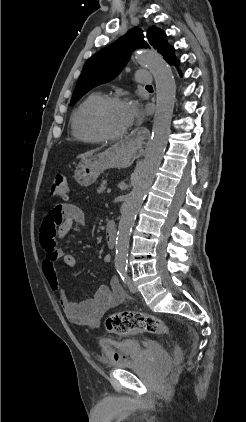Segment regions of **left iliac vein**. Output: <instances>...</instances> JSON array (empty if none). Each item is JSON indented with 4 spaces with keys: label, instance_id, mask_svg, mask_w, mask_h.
I'll list each match as a JSON object with an SVG mask.
<instances>
[{
    "label": "left iliac vein",
    "instance_id": "left-iliac-vein-1",
    "mask_svg": "<svg viewBox=\"0 0 246 422\" xmlns=\"http://www.w3.org/2000/svg\"><path fill=\"white\" fill-rule=\"evenodd\" d=\"M127 284H128L129 290L132 293H136L137 292V287H136L135 283L131 280V278H128Z\"/></svg>",
    "mask_w": 246,
    "mask_h": 422
}]
</instances>
